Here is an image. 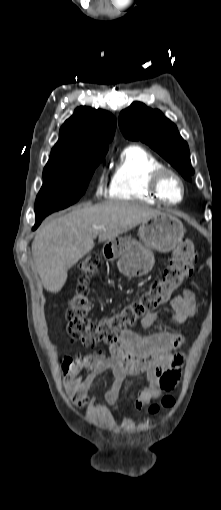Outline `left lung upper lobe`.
Listing matches in <instances>:
<instances>
[{
	"mask_svg": "<svg viewBox=\"0 0 221 510\" xmlns=\"http://www.w3.org/2000/svg\"><path fill=\"white\" fill-rule=\"evenodd\" d=\"M119 126L130 140H141L165 158L181 175L190 180L191 167L188 144L177 127L159 110H152L141 102L132 103L121 111Z\"/></svg>",
	"mask_w": 221,
	"mask_h": 510,
	"instance_id": "1",
	"label": "left lung upper lobe"
}]
</instances>
